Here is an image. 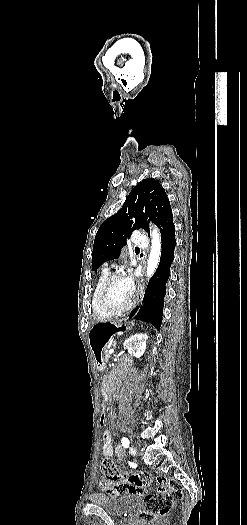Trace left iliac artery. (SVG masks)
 Listing matches in <instances>:
<instances>
[{
  "label": "left iliac artery",
  "mask_w": 247,
  "mask_h": 525,
  "mask_svg": "<svg viewBox=\"0 0 247 525\" xmlns=\"http://www.w3.org/2000/svg\"><path fill=\"white\" fill-rule=\"evenodd\" d=\"M121 444H122V446H123L124 448H128V447H129V444H130L128 438L123 437V438L121 439Z\"/></svg>",
  "instance_id": "left-iliac-artery-1"
}]
</instances>
